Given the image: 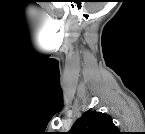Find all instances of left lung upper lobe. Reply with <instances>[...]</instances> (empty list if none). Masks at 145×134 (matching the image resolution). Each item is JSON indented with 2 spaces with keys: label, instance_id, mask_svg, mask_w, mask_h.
<instances>
[{
  "label": "left lung upper lobe",
  "instance_id": "1",
  "mask_svg": "<svg viewBox=\"0 0 145 134\" xmlns=\"http://www.w3.org/2000/svg\"><path fill=\"white\" fill-rule=\"evenodd\" d=\"M70 134H119L111 116L95 110H88L78 118Z\"/></svg>",
  "mask_w": 145,
  "mask_h": 134
}]
</instances>
